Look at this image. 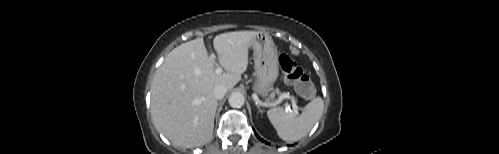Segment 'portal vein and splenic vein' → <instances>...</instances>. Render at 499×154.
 Listing matches in <instances>:
<instances>
[{
	"label": "portal vein and splenic vein",
	"mask_w": 499,
	"mask_h": 154,
	"mask_svg": "<svg viewBox=\"0 0 499 154\" xmlns=\"http://www.w3.org/2000/svg\"><path fill=\"white\" fill-rule=\"evenodd\" d=\"M211 57L215 58V54H212ZM215 73L216 74H221L222 73V68L220 66H218L215 69ZM287 97H288L287 95L280 96L276 101L273 102V105H277V104L281 103L283 101V99L287 98ZM285 107H286L287 111H289L291 113H294L295 115L298 114V107H297V105L295 103L292 104L293 111L291 110L290 105L286 104Z\"/></svg>",
	"instance_id": "1"
}]
</instances>
